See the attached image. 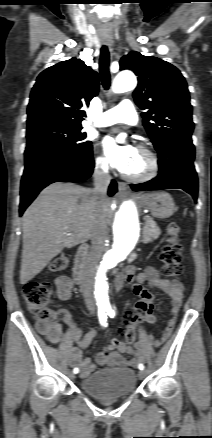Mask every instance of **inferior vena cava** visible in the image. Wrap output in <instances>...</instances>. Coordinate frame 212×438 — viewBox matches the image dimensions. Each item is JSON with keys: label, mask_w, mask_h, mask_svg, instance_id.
Listing matches in <instances>:
<instances>
[{"label": "inferior vena cava", "mask_w": 212, "mask_h": 438, "mask_svg": "<svg viewBox=\"0 0 212 438\" xmlns=\"http://www.w3.org/2000/svg\"><path fill=\"white\" fill-rule=\"evenodd\" d=\"M94 189L92 190L94 200L101 213L95 220V228L91 237V250L88 254L85 264V277L83 290L85 302L90 310L95 308V300L93 297V279L96 274L98 263L104 252V241L106 238L105 222L103 220V205L107 199V189L111 181L108 169L102 165H96L94 170Z\"/></svg>", "instance_id": "602c4592"}]
</instances>
